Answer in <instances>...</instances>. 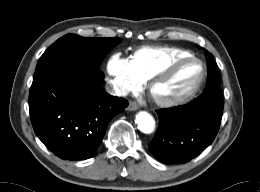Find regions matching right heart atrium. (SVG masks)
<instances>
[{"label": "right heart atrium", "instance_id": "1", "mask_svg": "<svg viewBox=\"0 0 260 192\" xmlns=\"http://www.w3.org/2000/svg\"><path fill=\"white\" fill-rule=\"evenodd\" d=\"M107 70L121 92L137 91L143 84V79L136 72L132 62L118 55L110 57Z\"/></svg>", "mask_w": 260, "mask_h": 192}]
</instances>
